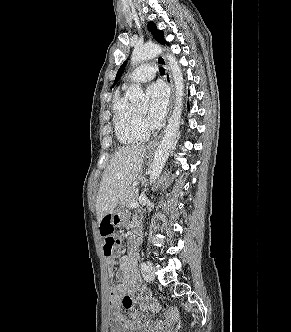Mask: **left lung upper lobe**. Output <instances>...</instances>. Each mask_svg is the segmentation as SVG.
I'll return each mask as SVG.
<instances>
[{
  "instance_id": "1",
  "label": "left lung upper lobe",
  "mask_w": 291,
  "mask_h": 332,
  "mask_svg": "<svg viewBox=\"0 0 291 332\" xmlns=\"http://www.w3.org/2000/svg\"><path fill=\"white\" fill-rule=\"evenodd\" d=\"M148 28L149 30L151 31L153 37L160 43V44H168L165 40H164V37H163V31L161 30H158L156 28V25L153 23V22H149L148 23ZM126 66V62H124L121 67L119 68L118 72H117V75H116V79L114 81V85L116 84V82L118 81V79L120 78L122 72L124 71V68ZM113 85V86H114Z\"/></svg>"
}]
</instances>
